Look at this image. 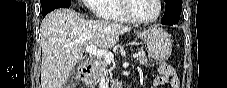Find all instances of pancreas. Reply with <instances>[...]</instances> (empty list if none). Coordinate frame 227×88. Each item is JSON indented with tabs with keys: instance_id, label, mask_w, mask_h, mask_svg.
Here are the masks:
<instances>
[{
	"instance_id": "cf45deb5",
	"label": "pancreas",
	"mask_w": 227,
	"mask_h": 88,
	"mask_svg": "<svg viewBox=\"0 0 227 88\" xmlns=\"http://www.w3.org/2000/svg\"><path fill=\"white\" fill-rule=\"evenodd\" d=\"M137 59L140 62V64L145 65V66L148 65L147 56L142 49H140L138 51ZM151 62L153 63V61H151ZM155 62H157V60ZM107 67H108V63L105 60H101L98 63V65L92 69L91 73L86 78V80H85L86 84L94 85L95 83H97L103 75L107 74V72H108Z\"/></svg>"
}]
</instances>
